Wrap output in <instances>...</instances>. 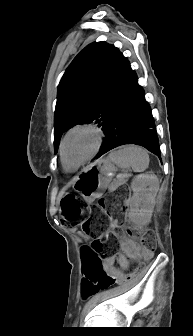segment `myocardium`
Wrapping results in <instances>:
<instances>
[{
    "label": "myocardium",
    "mask_w": 193,
    "mask_h": 336,
    "mask_svg": "<svg viewBox=\"0 0 193 336\" xmlns=\"http://www.w3.org/2000/svg\"><path fill=\"white\" fill-rule=\"evenodd\" d=\"M78 130H87V131L92 132L95 135L96 144H95V147H94L93 151L84 160H82L81 162H79L76 165H70L65 158L64 146H65V143H66L68 137L72 133H74ZM103 139H104L103 132L101 131V129H99L95 125L87 124V123H81V124L74 125L64 134V136H63V138L60 142L59 152H60V157H61L63 165L66 166L67 168L71 169V170L78 169L80 166H82L85 163H87L88 161H90L99 152V150H100V148L103 144Z\"/></svg>",
    "instance_id": "obj_1"
}]
</instances>
